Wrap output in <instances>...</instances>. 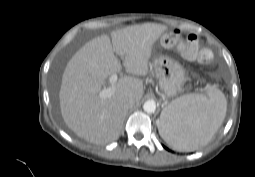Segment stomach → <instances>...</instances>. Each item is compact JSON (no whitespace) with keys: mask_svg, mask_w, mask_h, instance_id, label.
Here are the masks:
<instances>
[{"mask_svg":"<svg viewBox=\"0 0 255 177\" xmlns=\"http://www.w3.org/2000/svg\"><path fill=\"white\" fill-rule=\"evenodd\" d=\"M172 34L162 36V41L171 38ZM160 89L167 97L173 98L182 92L186 78L182 65L172 58L157 55L152 62Z\"/></svg>","mask_w":255,"mask_h":177,"instance_id":"stomach-1","label":"stomach"}]
</instances>
